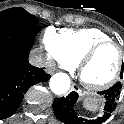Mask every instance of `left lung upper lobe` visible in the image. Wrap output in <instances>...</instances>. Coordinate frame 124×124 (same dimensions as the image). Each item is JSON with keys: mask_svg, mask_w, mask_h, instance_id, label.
Wrapping results in <instances>:
<instances>
[{"mask_svg": "<svg viewBox=\"0 0 124 124\" xmlns=\"http://www.w3.org/2000/svg\"><path fill=\"white\" fill-rule=\"evenodd\" d=\"M120 78L123 79V70H121Z\"/></svg>", "mask_w": 124, "mask_h": 124, "instance_id": "1", "label": "left lung upper lobe"}]
</instances>
